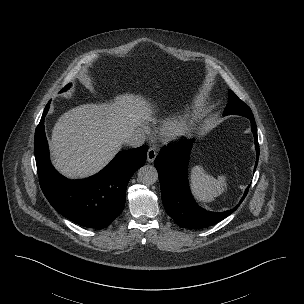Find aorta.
Masks as SVG:
<instances>
[{
	"instance_id": "762f6f07",
	"label": "aorta",
	"mask_w": 304,
	"mask_h": 304,
	"mask_svg": "<svg viewBox=\"0 0 304 304\" xmlns=\"http://www.w3.org/2000/svg\"><path fill=\"white\" fill-rule=\"evenodd\" d=\"M138 179L146 186L154 184L158 180L156 168L152 165H144L138 170Z\"/></svg>"
}]
</instances>
